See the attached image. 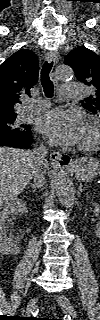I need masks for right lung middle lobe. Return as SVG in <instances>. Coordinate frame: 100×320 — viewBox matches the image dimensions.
Wrapping results in <instances>:
<instances>
[{
	"mask_svg": "<svg viewBox=\"0 0 100 320\" xmlns=\"http://www.w3.org/2000/svg\"><path fill=\"white\" fill-rule=\"evenodd\" d=\"M16 117H9L5 119H0V135L10 134V135H21L26 134L30 131V126L25 124L15 123Z\"/></svg>",
	"mask_w": 100,
	"mask_h": 320,
	"instance_id": "1",
	"label": "right lung middle lobe"
}]
</instances>
